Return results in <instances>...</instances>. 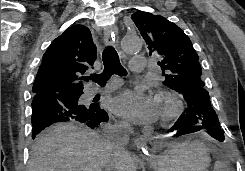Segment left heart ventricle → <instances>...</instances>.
Segmentation results:
<instances>
[{"mask_svg": "<svg viewBox=\"0 0 245 171\" xmlns=\"http://www.w3.org/2000/svg\"><path fill=\"white\" fill-rule=\"evenodd\" d=\"M158 104H159V110H160V114H161L163 111V103L160 100H158Z\"/></svg>", "mask_w": 245, "mask_h": 171, "instance_id": "b2bd125f", "label": "left heart ventricle"}]
</instances>
